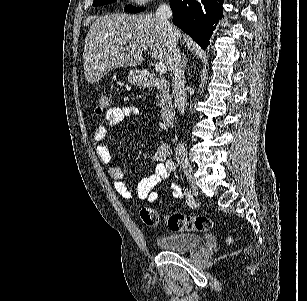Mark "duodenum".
Listing matches in <instances>:
<instances>
[{"instance_id":"duodenum-1","label":"duodenum","mask_w":307,"mask_h":301,"mask_svg":"<svg viewBox=\"0 0 307 301\" xmlns=\"http://www.w3.org/2000/svg\"><path fill=\"white\" fill-rule=\"evenodd\" d=\"M142 83L148 87H154L162 93V104L160 109V116L162 123L167 126H173L176 118V110L170 92L169 83L165 79L157 78L149 73L141 75Z\"/></svg>"}]
</instances>
